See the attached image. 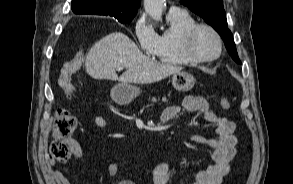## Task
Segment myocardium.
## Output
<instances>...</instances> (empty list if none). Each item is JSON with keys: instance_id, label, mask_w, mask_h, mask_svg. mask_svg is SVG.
Masks as SVG:
<instances>
[{"instance_id": "obj_1", "label": "myocardium", "mask_w": 293, "mask_h": 184, "mask_svg": "<svg viewBox=\"0 0 293 184\" xmlns=\"http://www.w3.org/2000/svg\"><path fill=\"white\" fill-rule=\"evenodd\" d=\"M201 29H206L214 35L218 43V51L211 57H199L192 50V40L194 35ZM180 48L182 54L192 63H208L217 60L223 50V41L220 34L210 25L204 23H195L187 28L181 36Z\"/></svg>"}]
</instances>
